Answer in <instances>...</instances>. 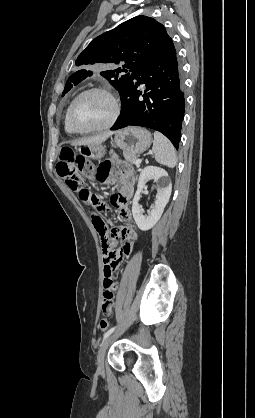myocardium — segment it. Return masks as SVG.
I'll list each match as a JSON object with an SVG mask.
<instances>
[{"mask_svg": "<svg viewBox=\"0 0 255 418\" xmlns=\"http://www.w3.org/2000/svg\"><path fill=\"white\" fill-rule=\"evenodd\" d=\"M91 93H101L110 99L112 103L111 117L103 125L92 127V128H79L73 123V120H72L74 109L77 103L80 101V99H82L84 96L91 94ZM119 115H120V104L116 96L110 90L106 88L91 87L79 93L70 103L68 112H67V123L69 127L76 133H82V134L96 133V132H102V131L110 129L116 123Z\"/></svg>", "mask_w": 255, "mask_h": 418, "instance_id": "f54148a6", "label": "myocardium"}]
</instances>
